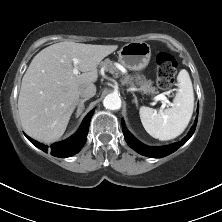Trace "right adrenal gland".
Instances as JSON below:
<instances>
[{
  "label": "right adrenal gland",
  "instance_id": "obj_1",
  "mask_svg": "<svg viewBox=\"0 0 222 222\" xmlns=\"http://www.w3.org/2000/svg\"><path fill=\"white\" fill-rule=\"evenodd\" d=\"M88 99H80L77 103V110H76V115L79 116L82 111L84 110V103L87 101Z\"/></svg>",
  "mask_w": 222,
  "mask_h": 222
}]
</instances>
